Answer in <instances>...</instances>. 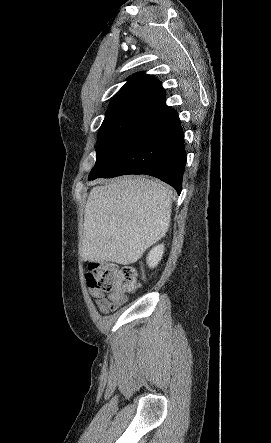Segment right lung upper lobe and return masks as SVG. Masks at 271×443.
Returning a JSON list of instances; mask_svg holds the SVG:
<instances>
[{"label": "right lung upper lobe", "instance_id": "obj_1", "mask_svg": "<svg viewBox=\"0 0 271 443\" xmlns=\"http://www.w3.org/2000/svg\"><path fill=\"white\" fill-rule=\"evenodd\" d=\"M122 102H145L157 105L165 102V92L161 82L144 72L136 73L114 95L110 104Z\"/></svg>", "mask_w": 271, "mask_h": 443}]
</instances>
